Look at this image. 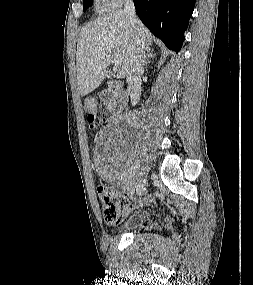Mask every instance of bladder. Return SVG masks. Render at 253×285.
Masks as SVG:
<instances>
[{"label":"bladder","mask_w":253,"mask_h":285,"mask_svg":"<svg viewBox=\"0 0 253 285\" xmlns=\"http://www.w3.org/2000/svg\"><path fill=\"white\" fill-rule=\"evenodd\" d=\"M153 214L150 211L138 210L131 213L119 227L121 232H133L148 224Z\"/></svg>","instance_id":"obj_1"}]
</instances>
